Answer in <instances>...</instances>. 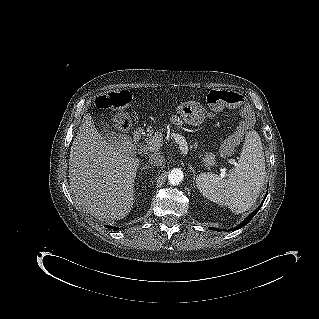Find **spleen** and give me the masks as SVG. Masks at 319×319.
Wrapping results in <instances>:
<instances>
[{"instance_id":"3e777b00","label":"spleen","mask_w":319,"mask_h":319,"mask_svg":"<svg viewBox=\"0 0 319 319\" xmlns=\"http://www.w3.org/2000/svg\"><path fill=\"white\" fill-rule=\"evenodd\" d=\"M266 171L262 142L256 131L245 137L240 159L227 177L201 173L196 183L200 192L210 201L228 206L239 214L251 208L264 186Z\"/></svg>"}]
</instances>
